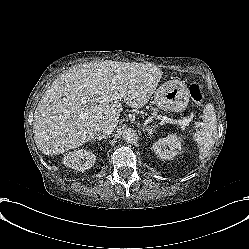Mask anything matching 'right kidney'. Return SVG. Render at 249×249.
<instances>
[{"mask_svg": "<svg viewBox=\"0 0 249 249\" xmlns=\"http://www.w3.org/2000/svg\"><path fill=\"white\" fill-rule=\"evenodd\" d=\"M77 158H78V156H76V155L70 156L69 158H67V159H69L68 163H73L74 161H76ZM86 166L87 167L92 166V162H89Z\"/></svg>", "mask_w": 249, "mask_h": 249, "instance_id": "right-kidney-1", "label": "right kidney"}]
</instances>
